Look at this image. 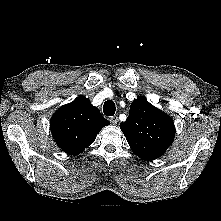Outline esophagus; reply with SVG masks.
<instances>
[{
    "instance_id": "esophagus-1",
    "label": "esophagus",
    "mask_w": 221,
    "mask_h": 221,
    "mask_svg": "<svg viewBox=\"0 0 221 221\" xmlns=\"http://www.w3.org/2000/svg\"><path fill=\"white\" fill-rule=\"evenodd\" d=\"M110 122H111L112 124H117V123H118V117H117V116L111 117V118H110Z\"/></svg>"
}]
</instances>
